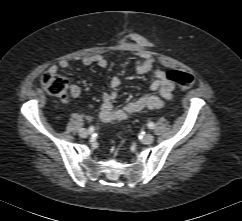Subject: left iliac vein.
I'll use <instances>...</instances> for the list:
<instances>
[{"mask_svg":"<svg viewBox=\"0 0 242 221\" xmlns=\"http://www.w3.org/2000/svg\"><path fill=\"white\" fill-rule=\"evenodd\" d=\"M153 141H154V136L152 134H145L141 140L143 144H151Z\"/></svg>","mask_w":242,"mask_h":221,"instance_id":"left-iliac-vein-1","label":"left iliac vein"}]
</instances>
